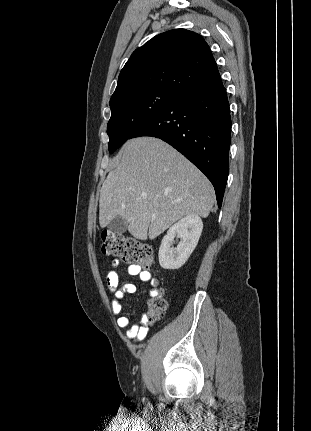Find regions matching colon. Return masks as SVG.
<instances>
[{"label": "colon", "mask_w": 311, "mask_h": 431, "mask_svg": "<svg viewBox=\"0 0 311 431\" xmlns=\"http://www.w3.org/2000/svg\"><path fill=\"white\" fill-rule=\"evenodd\" d=\"M103 254L119 258L121 261L151 269L154 264L152 248L136 239L124 237L120 234L104 231L101 235ZM167 302L164 292L158 291L147 303L145 320L148 324H155L164 315Z\"/></svg>", "instance_id": "1"}]
</instances>
